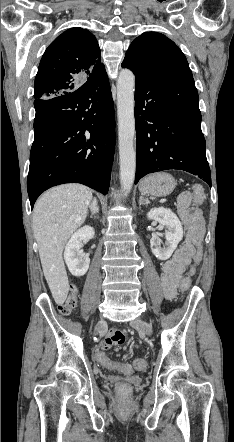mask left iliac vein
<instances>
[{
	"instance_id": "4c4485c4",
	"label": "left iliac vein",
	"mask_w": 234,
	"mask_h": 442,
	"mask_svg": "<svg viewBox=\"0 0 234 442\" xmlns=\"http://www.w3.org/2000/svg\"><path fill=\"white\" fill-rule=\"evenodd\" d=\"M131 326L139 331L145 332L147 335H151L153 332L152 326L140 318L133 320Z\"/></svg>"
}]
</instances>
